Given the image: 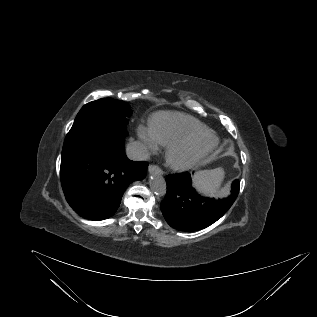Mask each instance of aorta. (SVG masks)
<instances>
[{"instance_id": "aorta-1", "label": "aorta", "mask_w": 317, "mask_h": 317, "mask_svg": "<svg viewBox=\"0 0 317 317\" xmlns=\"http://www.w3.org/2000/svg\"><path fill=\"white\" fill-rule=\"evenodd\" d=\"M149 185L152 192L155 193L157 196L162 197L166 194V181L162 176L160 170L154 169L150 173Z\"/></svg>"}]
</instances>
